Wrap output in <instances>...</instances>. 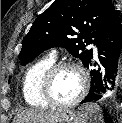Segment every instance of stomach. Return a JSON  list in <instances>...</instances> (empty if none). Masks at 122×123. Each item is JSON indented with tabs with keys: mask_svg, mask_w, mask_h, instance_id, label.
Masks as SVG:
<instances>
[{
	"mask_svg": "<svg viewBox=\"0 0 122 123\" xmlns=\"http://www.w3.org/2000/svg\"><path fill=\"white\" fill-rule=\"evenodd\" d=\"M88 119L83 111L64 110L50 123H87Z\"/></svg>",
	"mask_w": 122,
	"mask_h": 123,
	"instance_id": "stomach-1",
	"label": "stomach"
}]
</instances>
